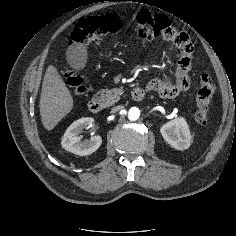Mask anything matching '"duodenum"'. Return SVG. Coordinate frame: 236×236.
<instances>
[{
    "label": "duodenum",
    "mask_w": 236,
    "mask_h": 236,
    "mask_svg": "<svg viewBox=\"0 0 236 236\" xmlns=\"http://www.w3.org/2000/svg\"><path fill=\"white\" fill-rule=\"evenodd\" d=\"M144 95H145V89L142 87H137L132 91V98L136 101L141 100L144 97ZM88 109L92 113H99L103 110V103L99 98L94 97L91 100H89Z\"/></svg>",
    "instance_id": "duodenum-1"
}]
</instances>
